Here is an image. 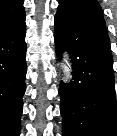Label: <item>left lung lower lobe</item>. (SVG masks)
I'll list each match as a JSON object with an SVG mask.
<instances>
[{"instance_id": "1", "label": "left lung lower lobe", "mask_w": 117, "mask_h": 136, "mask_svg": "<svg viewBox=\"0 0 117 136\" xmlns=\"http://www.w3.org/2000/svg\"><path fill=\"white\" fill-rule=\"evenodd\" d=\"M55 47L66 49L73 81L60 84L63 136H117L113 58L107 30L55 16Z\"/></svg>"}]
</instances>
